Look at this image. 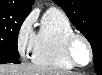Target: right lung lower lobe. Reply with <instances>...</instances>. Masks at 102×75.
I'll list each match as a JSON object with an SVG mask.
<instances>
[{
  "label": "right lung lower lobe",
  "mask_w": 102,
  "mask_h": 75,
  "mask_svg": "<svg viewBox=\"0 0 102 75\" xmlns=\"http://www.w3.org/2000/svg\"><path fill=\"white\" fill-rule=\"evenodd\" d=\"M5 63L18 64L20 63V61L18 58H15V57H8V56L0 57V64H5Z\"/></svg>",
  "instance_id": "right-lung-lower-lobe-1"
}]
</instances>
